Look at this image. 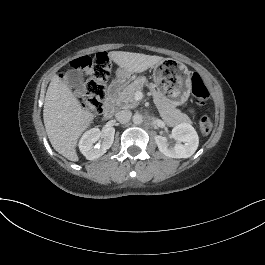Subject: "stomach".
<instances>
[{"instance_id": "0dacf381", "label": "stomach", "mask_w": 265, "mask_h": 265, "mask_svg": "<svg viewBox=\"0 0 265 265\" xmlns=\"http://www.w3.org/2000/svg\"><path fill=\"white\" fill-rule=\"evenodd\" d=\"M120 82H126L130 75L119 68L116 73ZM154 86L170 99L175 106L183 105L190 96L191 76L188 68L172 58L164 59L153 68Z\"/></svg>"}]
</instances>
